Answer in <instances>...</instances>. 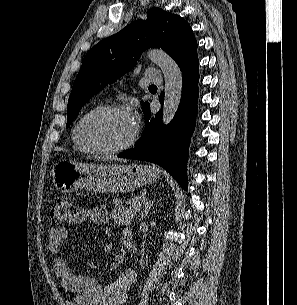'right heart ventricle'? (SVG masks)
Returning a JSON list of instances; mask_svg holds the SVG:
<instances>
[{"instance_id": "obj_1", "label": "right heart ventricle", "mask_w": 297, "mask_h": 305, "mask_svg": "<svg viewBox=\"0 0 297 305\" xmlns=\"http://www.w3.org/2000/svg\"><path fill=\"white\" fill-rule=\"evenodd\" d=\"M73 141H74V145H75V148L79 151H82V152H87L85 151L77 142V139H76V136H75V128L73 130Z\"/></svg>"}]
</instances>
